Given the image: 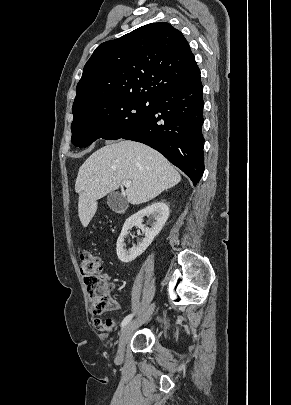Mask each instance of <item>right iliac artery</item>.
Wrapping results in <instances>:
<instances>
[{"instance_id": "obj_1", "label": "right iliac artery", "mask_w": 291, "mask_h": 405, "mask_svg": "<svg viewBox=\"0 0 291 405\" xmlns=\"http://www.w3.org/2000/svg\"><path fill=\"white\" fill-rule=\"evenodd\" d=\"M132 317H133V314L127 315V316L123 319V321H122V323H121V327L126 326V325L130 322V320L132 319Z\"/></svg>"}]
</instances>
